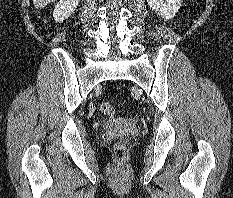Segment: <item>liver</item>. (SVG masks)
I'll use <instances>...</instances> for the list:
<instances>
[{"label": "liver", "mask_w": 233, "mask_h": 198, "mask_svg": "<svg viewBox=\"0 0 233 198\" xmlns=\"http://www.w3.org/2000/svg\"><path fill=\"white\" fill-rule=\"evenodd\" d=\"M35 8H44L48 4L52 3L54 0H32Z\"/></svg>", "instance_id": "1"}]
</instances>
